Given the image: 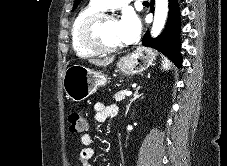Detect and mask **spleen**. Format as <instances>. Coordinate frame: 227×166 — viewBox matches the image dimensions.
Masks as SVG:
<instances>
[{
  "label": "spleen",
  "instance_id": "3e777b00",
  "mask_svg": "<svg viewBox=\"0 0 227 166\" xmlns=\"http://www.w3.org/2000/svg\"><path fill=\"white\" fill-rule=\"evenodd\" d=\"M171 66V63L166 59L165 57L162 56V67L164 70H169Z\"/></svg>",
  "mask_w": 227,
  "mask_h": 166
}]
</instances>
